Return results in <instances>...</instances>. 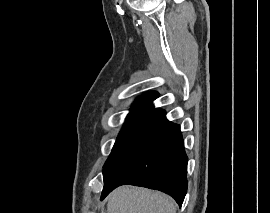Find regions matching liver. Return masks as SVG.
Masks as SVG:
<instances>
[{
    "instance_id": "liver-1",
    "label": "liver",
    "mask_w": 270,
    "mask_h": 213,
    "mask_svg": "<svg viewBox=\"0 0 270 213\" xmlns=\"http://www.w3.org/2000/svg\"><path fill=\"white\" fill-rule=\"evenodd\" d=\"M177 205L168 196L144 188L123 186L108 197L107 213H176Z\"/></svg>"
}]
</instances>
